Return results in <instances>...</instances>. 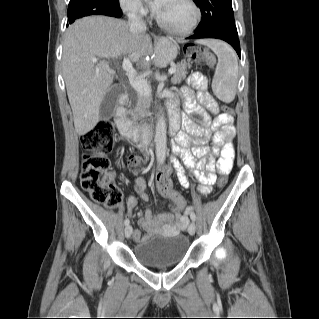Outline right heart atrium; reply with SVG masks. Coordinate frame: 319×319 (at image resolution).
I'll use <instances>...</instances> for the list:
<instances>
[{
	"instance_id": "obj_1",
	"label": "right heart atrium",
	"mask_w": 319,
	"mask_h": 319,
	"mask_svg": "<svg viewBox=\"0 0 319 319\" xmlns=\"http://www.w3.org/2000/svg\"><path fill=\"white\" fill-rule=\"evenodd\" d=\"M119 3L123 10L129 14L144 16L147 13L140 0H119Z\"/></svg>"
}]
</instances>
